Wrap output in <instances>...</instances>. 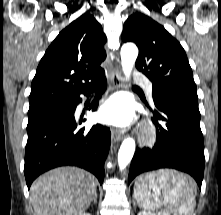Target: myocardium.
Here are the masks:
<instances>
[{
  "label": "myocardium",
  "instance_id": "myocardium-1",
  "mask_svg": "<svg viewBox=\"0 0 221 215\" xmlns=\"http://www.w3.org/2000/svg\"><path fill=\"white\" fill-rule=\"evenodd\" d=\"M155 137L156 135L154 129L149 126H145L140 132L139 140L143 144H152L155 140Z\"/></svg>",
  "mask_w": 221,
  "mask_h": 215
}]
</instances>
